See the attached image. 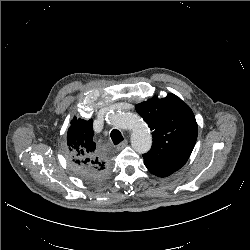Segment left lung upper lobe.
<instances>
[{
    "label": "left lung upper lobe",
    "mask_w": 250,
    "mask_h": 250,
    "mask_svg": "<svg viewBox=\"0 0 250 250\" xmlns=\"http://www.w3.org/2000/svg\"><path fill=\"white\" fill-rule=\"evenodd\" d=\"M136 111L153 131L152 147L143 154L145 165L170 173L179 170L191 155L198 134L190 107L170 93L137 104Z\"/></svg>",
    "instance_id": "1"
}]
</instances>
